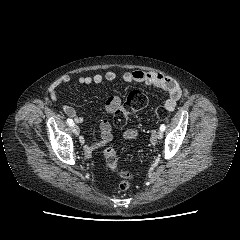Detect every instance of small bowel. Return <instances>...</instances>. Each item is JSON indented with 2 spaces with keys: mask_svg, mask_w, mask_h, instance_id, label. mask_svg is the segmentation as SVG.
<instances>
[{
  "mask_svg": "<svg viewBox=\"0 0 240 240\" xmlns=\"http://www.w3.org/2000/svg\"><path fill=\"white\" fill-rule=\"evenodd\" d=\"M118 78L114 71H107L104 74L96 73L92 76H80L78 82L82 85L100 84L103 81L113 82ZM123 82L128 84H146L160 88L167 92L168 96L165 100V107L168 111H173L177 102L181 97L182 91L179 84L172 78L162 75L160 73L135 70L132 72H125L121 75ZM71 77L69 75H63L56 79L50 86V96L53 101H57V88L61 85L70 83ZM122 106V100L119 96H110L104 103L105 111L109 114H114ZM62 111L72 118L76 123L80 124L84 121V117L79 115L76 110L69 105H61ZM101 138L98 142L93 144L86 143L84 137L80 138V142L83 145L84 152L90 155L94 151L102 148L112 139V126L107 119L102 120L100 124ZM138 131L136 129H127L124 132L126 139H136Z\"/></svg>",
  "mask_w": 240,
  "mask_h": 240,
  "instance_id": "c3829d8e",
  "label": "small bowel"
}]
</instances>
